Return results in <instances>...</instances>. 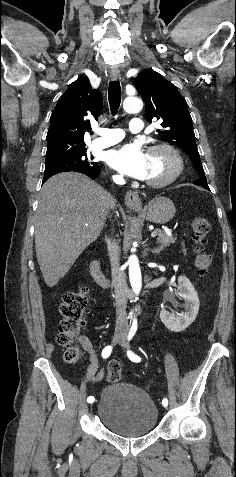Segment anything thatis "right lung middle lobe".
Returning a JSON list of instances; mask_svg holds the SVG:
<instances>
[{
  "instance_id": "1",
  "label": "right lung middle lobe",
  "mask_w": 236,
  "mask_h": 477,
  "mask_svg": "<svg viewBox=\"0 0 236 477\" xmlns=\"http://www.w3.org/2000/svg\"><path fill=\"white\" fill-rule=\"evenodd\" d=\"M93 159L88 157L86 149H83L75 154L45 163L44 175H54L60 172L83 170L92 172L99 166Z\"/></svg>"
}]
</instances>
